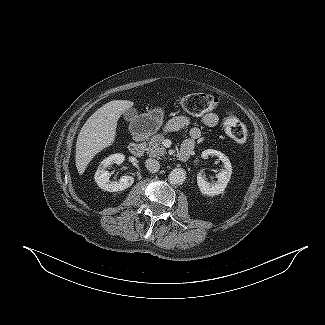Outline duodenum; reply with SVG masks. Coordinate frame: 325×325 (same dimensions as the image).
Listing matches in <instances>:
<instances>
[{"instance_id":"1","label":"duodenum","mask_w":325,"mask_h":325,"mask_svg":"<svg viewBox=\"0 0 325 325\" xmlns=\"http://www.w3.org/2000/svg\"><path fill=\"white\" fill-rule=\"evenodd\" d=\"M128 149L132 155L141 156L145 150L144 136L141 134H136L133 142L129 144ZM193 149L194 148L191 145L184 144L178 153V159L183 162L187 161L190 158Z\"/></svg>"}]
</instances>
